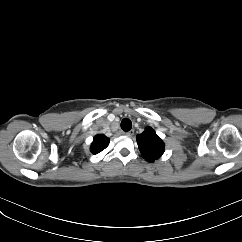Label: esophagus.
Returning <instances> with one entry per match:
<instances>
[{
  "label": "esophagus",
  "instance_id": "esophagus-1",
  "mask_svg": "<svg viewBox=\"0 0 242 242\" xmlns=\"http://www.w3.org/2000/svg\"><path fill=\"white\" fill-rule=\"evenodd\" d=\"M125 134H126V136L132 137L134 135V130L131 129L130 131L126 132Z\"/></svg>",
  "mask_w": 242,
  "mask_h": 242
}]
</instances>
